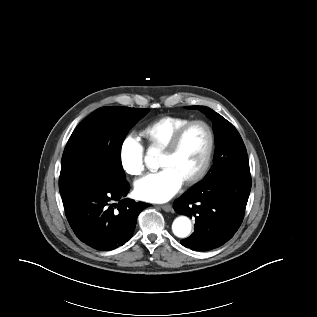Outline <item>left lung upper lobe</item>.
<instances>
[{
	"mask_svg": "<svg viewBox=\"0 0 317 317\" xmlns=\"http://www.w3.org/2000/svg\"><path fill=\"white\" fill-rule=\"evenodd\" d=\"M202 111L213 121L215 133L214 164L200 183L214 182L236 172L249 173V161L244 142L236 128L221 115L205 106H188Z\"/></svg>",
	"mask_w": 317,
	"mask_h": 317,
	"instance_id": "5c2ea615",
	"label": "left lung upper lobe"
}]
</instances>
